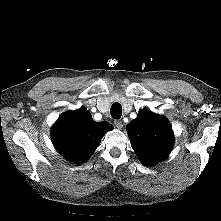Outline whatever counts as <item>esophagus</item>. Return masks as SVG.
<instances>
[{
	"label": "esophagus",
	"instance_id": "34e87169",
	"mask_svg": "<svg viewBox=\"0 0 221 221\" xmlns=\"http://www.w3.org/2000/svg\"><path fill=\"white\" fill-rule=\"evenodd\" d=\"M114 124H115L116 128H118V129H121L123 127L121 120H115Z\"/></svg>",
	"mask_w": 221,
	"mask_h": 221
}]
</instances>
